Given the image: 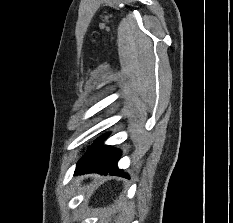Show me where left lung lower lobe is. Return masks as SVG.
Wrapping results in <instances>:
<instances>
[{
  "mask_svg": "<svg viewBox=\"0 0 233 223\" xmlns=\"http://www.w3.org/2000/svg\"><path fill=\"white\" fill-rule=\"evenodd\" d=\"M108 136V133L100 136L94 141L92 147L79 160L75 175L85 173H99L119 175L129 178L126 173H123L117 168V161L121 155L120 151L110 146H99L102 141Z\"/></svg>",
  "mask_w": 233,
  "mask_h": 223,
  "instance_id": "left-lung-lower-lobe-1",
  "label": "left lung lower lobe"
}]
</instances>
